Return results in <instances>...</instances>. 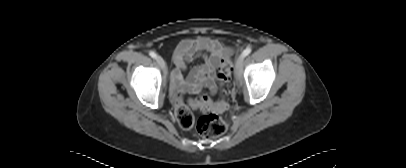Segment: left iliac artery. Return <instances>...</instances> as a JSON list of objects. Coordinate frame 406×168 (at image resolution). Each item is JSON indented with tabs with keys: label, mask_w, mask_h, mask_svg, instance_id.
I'll use <instances>...</instances> for the list:
<instances>
[{
	"label": "left iliac artery",
	"mask_w": 406,
	"mask_h": 168,
	"mask_svg": "<svg viewBox=\"0 0 406 168\" xmlns=\"http://www.w3.org/2000/svg\"><path fill=\"white\" fill-rule=\"evenodd\" d=\"M251 53V48H246L243 52H242V56L246 57L247 55H249Z\"/></svg>",
	"instance_id": "1"
}]
</instances>
